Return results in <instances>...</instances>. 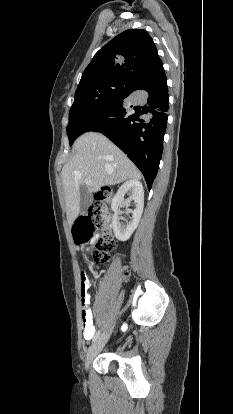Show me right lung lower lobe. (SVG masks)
Masks as SVG:
<instances>
[{"mask_svg": "<svg viewBox=\"0 0 233 414\" xmlns=\"http://www.w3.org/2000/svg\"><path fill=\"white\" fill-rule=\"evenodd\" d=\"M130 82L122 97L83 124L80 134L103 133L140 169L150 190L158 171L167 124V78L163 69Z\"/></svg>", "mask_w": 233, "mask_h": 414, "instance_id": "right-lung-lower-lobe-1", "label": "right lung lower lobe"}]
</instances>
